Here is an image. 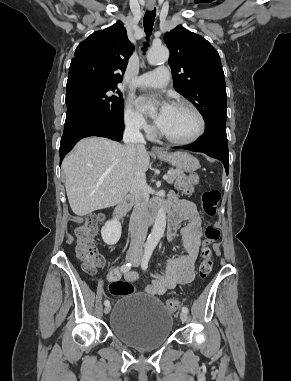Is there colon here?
I'll list each match as a JSON object with an SVG mask.
<instances>
[{
    "mask_svg": "<svg viewBox=\"0 0 291 381\" xmlns=\"http://www.w3.org/2000/svg\"><path fill=\"white\" fill-rule=\"evenodd\" d=\"M198 181L193 176H186L177 182V187L184 193H191L197 186ZM219 192L217 190H206L201 193V205L203 212L208 217L215 216L219 202ZM103 216H88L80 225L74 228L76 240L75 251L84 271L94 275L103 266L104 259L96 251L95 237L99 232ZM220 238L219 228L213 224H208L204 230L203 244L200 251L201 261L198 267V274L201 278L207 277L213 268L212 249ZM110 292L114 296H124L134 294V286L127 281H115L110 284ZM180 303L176 299H169L166 308L171 313H176Z\"/></svg>",
    "mask_w": 291,
    "mask_h": 381,
    "instance_id": "obj_1",
    "label": "colon"
}]
</instances>
